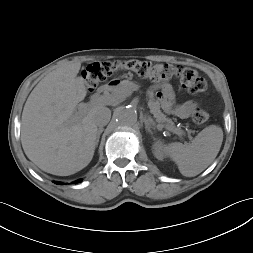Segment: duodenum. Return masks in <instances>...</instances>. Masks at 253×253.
Returning a JSON list of instances; mask_svg holds the SVG:
<instances>
[{
    "mask_svg": "<svg viewBox=\"0 0 253 253\" xmlns=\"http://www.w3.org/2000/svg\"><path fill=\"white\" fill-rule=\"evenodd\" d=\"M113 85H115L114 82H112V83H110V84H106V85L101 86V87L98 89L97 94H102V93H104L109 87H111V86H113Z\"/></svg>",
    "mask_w": 253,
    "mask_h": 253,
    "instance_id": "obj_1",
    "label": "duodenum"
}]
</instances>
